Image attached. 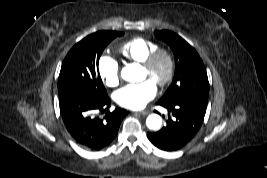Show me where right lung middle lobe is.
I'll return each instance as SVG.
<instances>
[{
	"label": "right lung middle lobe",
	"mask_w": 267,
	"mask_h": 178,
	"mask_svg": "<svg viewBox=\"0 0 267 178\" xmlns=\"http://www.w3.org/2000/svg\"><path fill=\"white\" fill-rule=\"evenodd\" d=\"M121 35L123 33L116 31H99L76 43L61 67L58 79L59 96L75 91L107 96L98 70L99 59L107 44Z\"/></svg>",
	"instance_id": "right-lung-middle-lobe-1"
}]
</instances>
